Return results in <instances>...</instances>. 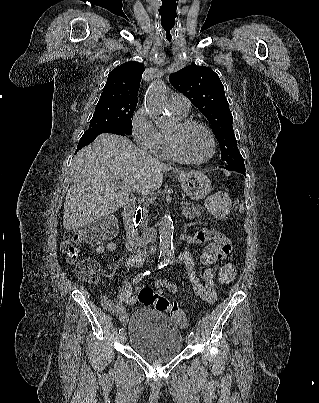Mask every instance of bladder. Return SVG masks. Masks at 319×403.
Segmentation results:
<instances>
[{
    "instance_id": "31cf9c89",
    "label": "bladder",
    "mask_w": 319,
    "mask_h": 403,
    "mask_svg": "<svg viewBox=\"0 0 319 403\" xmlns=\"http://www.w3.org/2000/svg\"><path fill=\"white\" fill-rule=\"evenodd\" d=\"M131 349L151 363L163 364L182 351L183 336L172 318L156 309H137L127 321Z\"/></svg>"
}]
</instances>
